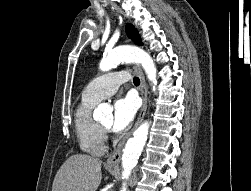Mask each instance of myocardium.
<instances>
[{
    "instance_id": "1",
    "label": "myocardium",
    "mask_w": 251,
    "mask_h": 191,
    "mask_svg": "<svg viewBox=\"0 0 251 191\" xmlns=\"http://www.w3.org/2000/svg\"><path fill=\"white\" fill-rule=\"evenodd\" d=\"M100 126L104 129V131H107L108 130V127L103 125V124H100Z\"/></svg>"
}]
</instances>
